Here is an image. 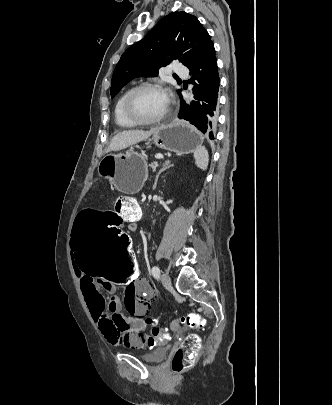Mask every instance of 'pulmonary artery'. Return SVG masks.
<instances>
[{"instance_id": "1", "label": "pulmonary artery", "mask_w": 332, "mask_h": 405, "mask_svg": "<svg viewBox=\"0 0 332 405\" xmlns=\"http://www.w3.org/2000/svg\"><path fill=\"white\" fill-rule=\"evenodd\" d=\"M172 71L174 73H176L177 75L183 76V77H186L188 74L187 69L184 66L177 64V63L173 64Z\"/></svg>"}]
</instances>
